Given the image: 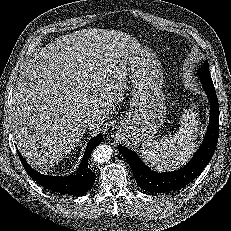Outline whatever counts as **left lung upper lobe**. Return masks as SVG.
Here are the masks:
<instances>
[{
  "mask_svg": "<svg viewBox=\"0 0 231 231\" xmlns=\"http://www.w3.org/2000/svg\"><path fill=\"white\" fill-rule=\"evenodd\" d=\"M198 75L201 79L212 80L209 72V64L207 61H205L203 66L198 69Z\"/></svg>",
  "mask_w": 231,
  "mask_h": 231,
  "instance_id": "5c2ea615",
  "label": "left lung upper lobe"
}]
</instances>
